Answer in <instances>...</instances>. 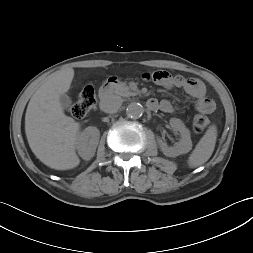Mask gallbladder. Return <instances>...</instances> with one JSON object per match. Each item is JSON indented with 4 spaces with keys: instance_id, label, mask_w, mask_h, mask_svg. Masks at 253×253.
Segmentation results:
<instances>
[{
    "instance_id": "1",
    "label": "gallbladder",
    "mask_w": 253,
    "mask_h": 253,
    "mask_svg": "<svg viewBox=\"0 0 253 253\" xmlns=\"http://www.w3.org/2000/svg\"><path fill=\"white\" fill-rule=\"evenodd\" d=\"M59 102L64 110H68L72 104L71 98L67 94H61L59 96Z\"/></svg>"
}]
</instances>
